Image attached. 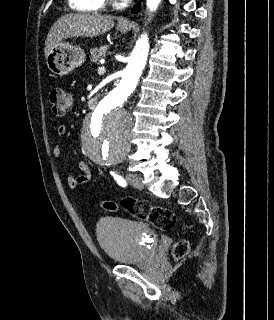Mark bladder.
<instances>
[{"mask_svg":"<svg viewBox=\"0 0 274 320\" xmlns=\"http://www.w3.org/2000/svg\"><path fill=\"white\" fill-rule=\"evenodd\" d=\"M95 232L101 249L116 264L143 263L155 254L157 235L144 223L106 217L97 223Z\"/></svg>","mask_w":274,"mask_h":320,"instance_id":"bladder-1","label":"bladder"}]
</instances>
